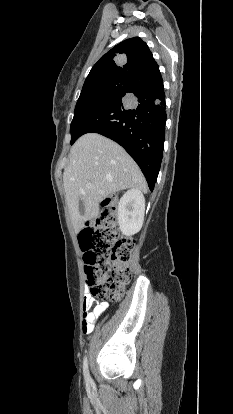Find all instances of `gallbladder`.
<instances>
[{"label":"gallbladder","mask_w":233,"mask_h":414,"mask_svg":"<svg viewBox=\"0 0 233 414\" xmlns=\"http://www.w3.org/2000/svg\"><path fill=\"white\" fill-rule=\"evenodd\" d=\"M79 212H80V214H84V212H85V207H84V204L81 200L79 202Z\"/></svg>","instance_id":"1"}]
</instances>
